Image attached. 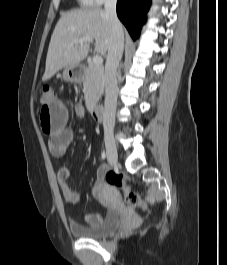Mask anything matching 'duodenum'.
<instances>
[{
	"mask_svg": "<svg viewBox=\"0 0 227 265\" xmlns=\"http://www.w3.org/2000/svg\"><path fill=\"white\" fill-rule=\"evenodd\" d=\"M91 114L96 121H102L105 115L103 106L94 105L91 108Z\"/></svg>",
	"mask_w": 227,
	"mask_h": 265,
	"instance_id": "410a0bca",
	"label": "duodenum"
}]
</instances>
